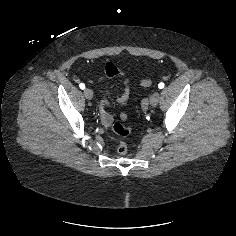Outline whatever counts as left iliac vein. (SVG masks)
<instances>
[{"label":"left iliac vein","instance_id":"1","mask_svg":"<svg viewBox=\"0 0 236 236\" xmlns=\"http://www.w3.org/2000/svg\"><path fill=\"white\" fill-rule=\"evenodd\" d=\"M159 100H160V93L156 91L150 96V105L155 107L158 104Z\"/></svg>","mask_w":236,"mask_h":236}]
</instances>
